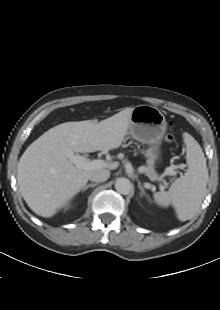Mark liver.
<instances>
[{"instance_id":"liver-1","label":"liver","mask_w":220,"mask_h":310,"mask_svg":"<svg viewBox=\"0 0 220 310\" xmlns=\"http://www.w3.org/2000/svg\"><path fill=\"white\" fill-rule=\"evenodd\" d=\"M133 108L97 122L85 120L59 124L36 139L22 154L17 166V181L22 197L39 216L52 217L88 182L92 173L116 169L83 170L67 153L109 151L121 146L128 132Z\"/></svg>"}]
</instances>
